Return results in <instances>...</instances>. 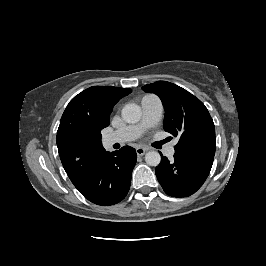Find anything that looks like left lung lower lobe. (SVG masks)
Listing matches in <instances>:
<instances>
[{"label": "left lung lower lobe", "instance_id": "0a47b994", "mask_svg": "<svg viewBox=\"0 0 266 266\" xmlns=\"http://www.w3.org/2000/svg\"><path fill=\"white\" fill-rule=\"evenodd\" d=\"M214 156H193L175 153L169 161L161 154L155 173L163 190L173 197H187L195 193L207 179Z\"/></svg>", "mask_w": 266, "mask_h": 266}]
</instances>
